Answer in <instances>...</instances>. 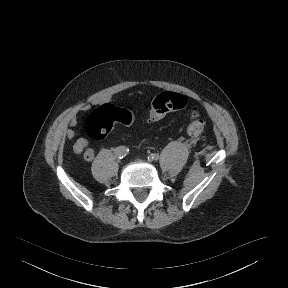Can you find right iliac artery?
I'll use <instances>...</instances> for the list:
<instances>
[{
  "label": "right iliac artery",
  "instance_id": "obj_1",
  "mask_svg": "<svg viewBox=\"0 0 288 288\" xmlns=\"http://www.w3.org/2000/svg\"><path fill=\"white\" fill-rule=\"evenodd\" d=\"M126 154H127V149L123 146H120V147L116 148V150H115V155L119 159L125 157Z\"/></svg>",
  "mask_w": 288,
  "mask_h": 288
}]
</instances>
